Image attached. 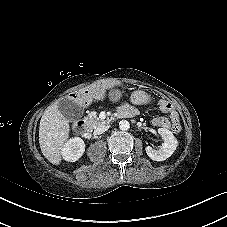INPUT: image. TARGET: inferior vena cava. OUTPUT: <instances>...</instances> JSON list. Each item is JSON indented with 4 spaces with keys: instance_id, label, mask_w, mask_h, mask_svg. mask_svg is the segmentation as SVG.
Returning a JSON list of instances; mask_svg holds the SVG:
<instances>
[{
    "instance_id": "inferior-vena-cava-1",
    "label": "inferior vena cava",
    "mask_w": 227,
    "mask_h": 227,
    "mask_svg": "<svg viewBox=\"0 0 227 227\" xmlns=\"http://www.w3.org/2000/svg\"><path fill=\"white\" fill-rule=\"evenodd\" d=\"M108 129H109V126H108V125H102V126L98 127V128L94 131V134H96V135L102 134V133H104L105 131H107Z\"/></svg>"
}]
</instances>
